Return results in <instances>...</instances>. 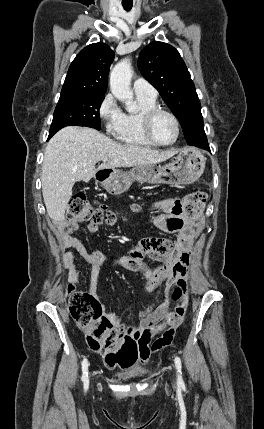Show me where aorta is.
Wrapping results in <instances>:
<instances>
[{"label": "aorta", "mask_w": 264, "mask_h": 429, "mask_svg": "<svg viewBox=\"0 0 264 429\" xmlns=\"http://www.w3.org/2000/svg\"><path fill=\"white\" fill-rule=\"evenodd\" d=\"M132 73L131 62L128 58L117 63L110 73L111 92L119 101L125 103L126 110L129 112L135 108L133 92L130 89Z\"/></svg>", "instance_id": "aorta-1"}]
</instances>
